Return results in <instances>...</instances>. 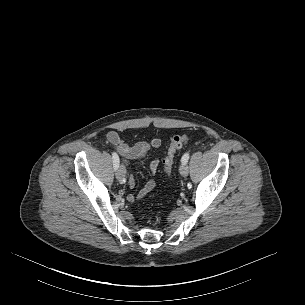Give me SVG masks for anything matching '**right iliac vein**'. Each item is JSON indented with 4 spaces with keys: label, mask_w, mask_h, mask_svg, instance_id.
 <instances>
[{
    "label": "right iliac vein",
    "mask_w": 305,
    "mask_h": 305,
    "mask_svg": "<svg viewBox=\"0 0 305 305\" xmlns=\"http://www.w3.org/2000/svg\"><path fill=\"white\" fill-rule=\"evenodd\" d=\"M126 176V169L124 165H120L116 171V178L120 181L123 182L124 178Z\"/></svg>",
    "instance_id": "63e3f726"
}]
</instances>
